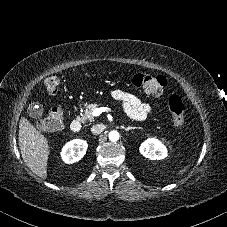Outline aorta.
<instances>
[{"instance_id":"aorta-1","label":"aorta","mask_w":227,"mask_h":227,"mask_svg":"<svg viewBox=\"0 0 227 227\" xmlns=\"http://www.w3.org/2000/svg\"><path fill=\"white\" fill-rule=\"evenodd\" d=\"M119 133H118V131H111L110 133H109V139H110V141H112V142H115V141H117L118 139H119Z\"/></svg>"}]
</instances>
